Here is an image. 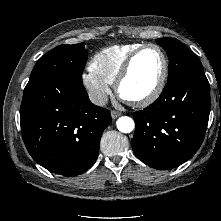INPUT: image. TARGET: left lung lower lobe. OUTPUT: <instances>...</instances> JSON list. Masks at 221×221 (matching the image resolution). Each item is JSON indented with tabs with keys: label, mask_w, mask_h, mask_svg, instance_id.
<instances>
[{
	"label": "left lung lower lobe",
	"mask_w": 221,
	"mask_h": 221,
	"mask_svg": "<svg viewBox=\"0 0 221 221\" xmlns=\"http://www.w3.org/2000/svg\"><path fill=\"white\" fill-rule=\"evenodd\" d=\"M209 113L210 87L204 71L182 76L165 86L154 103L133 113L135 155L155 169L178 167L201 146Z\"/></svg>",
	"instance_id": "1"
}]
</instances>
